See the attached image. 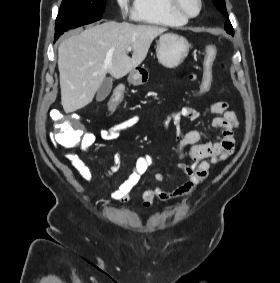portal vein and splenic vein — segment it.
<instances>
[{
    "label": "portal vein and splenic vein",
    "instance_id": "18ae733b",
    "mask_svg": "<svg viewBox=\"0 0 280 283\" xmlns=\"http://www.w3.org/2000/svg\"><path fill=\"white\" fill-rule=\"evenodd\" d=\"M127 50H128V51H131V50H132V47H131V46H129V47L127 48Z\"/></svg>",
    "mask_w": 280,
    "mask_h": 283
}]
</instances>
